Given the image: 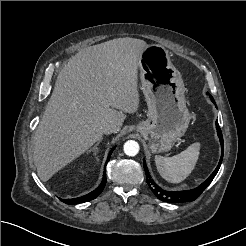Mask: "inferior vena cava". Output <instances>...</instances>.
Wrapping results in <instances>:
<instances>
[{
  "mask_svg": "<svg viewBox=\"0 0 246 246\" xmlns=\"http://www.w3.org/2000/svg\"><path fill=\"white\" fill-rule=\"evenodd\" d=\"M116 132V128L113 124L110 123H105L102 126V133L103 134H111V133H115Z\"/></svg>",
  "mask_w": 246,
  "mask_h": 246,
  "instance_id": "inferior-vena-cava-1",
  "label": "inferior vena cava"
}]
</instances>
